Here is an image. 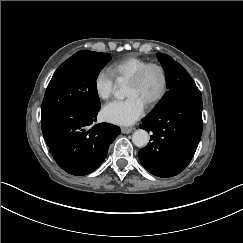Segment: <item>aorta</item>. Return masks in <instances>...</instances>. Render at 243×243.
<instances>
[{
	"instance_id": "aorta-1",
	"label": "aorta",
	"mask_w": 243,
	"mask_h": 243,
	"mask_svg": "<svg viewBox=\"0 0 243 243\" xmlns=\"http://www.w3.org/2000/svg\"><path fill=\"white\" fill-rule=\"evenodd\" d=\"M127 87L123 84L116 87L114 96L118 100H123L126 97ZM149 134L143 129H137L132 135V142L137 147H145L149 142Z\"/></svg>"
}]
</instances>
